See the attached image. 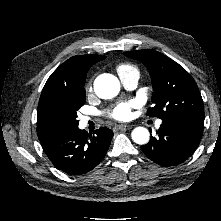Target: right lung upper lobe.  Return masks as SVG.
Masks as SVG:
<instances>
[{"mask_svg":"<svg viewBox=\"0 0 221 221\" xmlns=\"http://www.w3.org/2000/svg\"><path fill=\"white\" fill-rule=\"evenodd\" d=\"M105 58V56L90 54L74 56L66 60L49 77L42 90L40 98H43L46 94L57 90H85L84 84L87 71L94 63ZM37 134L41 143L56 136L43 131L38 122Z\"/></svg>","mask_w":221,"mask_h":221,"instance_id":"cb5924a9","label":"right lung upper lobe"}]
</instances>
